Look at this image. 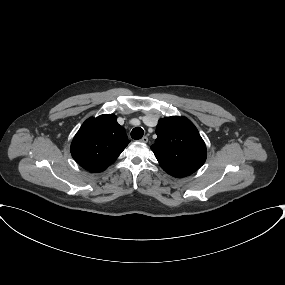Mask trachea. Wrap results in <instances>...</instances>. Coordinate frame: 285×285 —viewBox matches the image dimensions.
Segmentation results:
<instances>
[{
	"label": "trachea",
	"instance_id": "obj_1",
	"mask_svg": "<svg viewBox=\"0 0 285 285\" xmlns=\"http://www.w3.org/2000/svg\"><path fill=\"white\" fill-rule=\"evenodd\" d=\"M144 130L141 127H136L131 131V137L135 140H139L143 137Z\"/></svg>",
	"mask_w": 285,
	"mask_h": 285
}]
</instances>
